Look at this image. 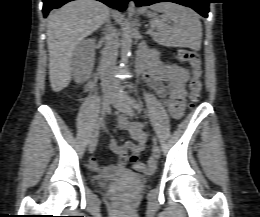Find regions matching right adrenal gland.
<instances>
[{
  "label": "right adrenal gland",
  "mask_w": 260,
  "mask_h": 217,
  "mask_svg": "<svg viewBox=\"0 0 260 217\" xmlns=\"http://www.w3.org/2000/svg\"><path fill=\"white\" fill-rule=\"evenodd\" d=\"M109 26H110V19H108V21L106 22V25L102 29L105 30Z\"/></svg>",
  "instance_id": "1"
}]
</instances>
